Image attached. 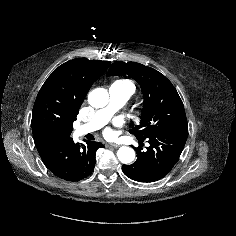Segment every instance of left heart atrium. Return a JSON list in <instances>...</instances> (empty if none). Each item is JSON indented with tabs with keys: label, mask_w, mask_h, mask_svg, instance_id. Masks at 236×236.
Instances as JSON below:
<instances>
[{
	"label": "left heart atrium",
	"mask_w": 236,
	"mask_h": 236,
	"mask_svg": "<svg viewBox=\"0 0 236 236\" xmlns=\"http://www.w3.org/2000/svg\"><path fill=\"white\" fill-rule=\"evenodd\" d=\"M105 136H107V137H112V136H113L112 130H111V129H106V130H105Z\"/></svg>",
	"instance_id": "obj_1"
}]
</instances>
